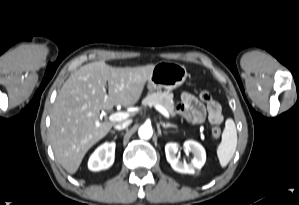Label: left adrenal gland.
<instances>
[{
    "instance_id": "left-adrenal-gland-1",
    "label": "left adrenal gland",
    "mask_w": 299,
    "mask_h": 205,
    "mask_svg": "<svg viewBox=\"0 0 299 205\" xmlns=\"http://www.w3.org/2000/svg\"><path fill=\"white\" fill-rule=\"evenodd\" d=\"M161 125H162V127L163 128H177V126L176 125H174V124H171V123H164V122H161Z\"/></svg>"
}]
</instances>
